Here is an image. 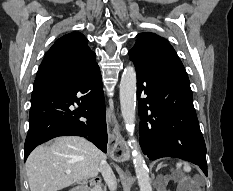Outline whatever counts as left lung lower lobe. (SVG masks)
<instances>
[{
	"label": "left lung lower lobe",
	"instance_id": "obj_1",
	"mask_svg": "<svg viewBox=\"0 0 233 191\" xmlns=\"http://www.w3.org/2000/svg\"><path fill=\"white\" fill-rule=\"evenodd\" d=\"M139 99L140 145L149 159L178 157L207 176L206 145L189 82L134 63ZM142 94L147 97L140 99Z\"/></svg>",
	"mask_w": 233,
	"mask_h": 191
}]
</instances>
